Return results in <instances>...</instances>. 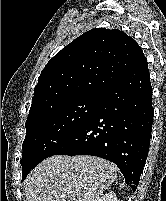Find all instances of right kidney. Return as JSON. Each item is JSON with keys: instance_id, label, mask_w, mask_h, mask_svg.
I'll return each instance as SVG.
<instances>
[{"instance_id": "ca27d5eb", "label": "right kidney", "mask_w": 166, "mask_h": 201, "mask_svg": "<svg viewBox=\"0 0 166 201\" xmlns=\"http://www.w3.org/2000/svg\"><path fill=\"white\" fill-rule=\"evenodd\" d=\"M98 201H118L114 192L110 191L102 196Z\"/></svg>"}]
</instances>
